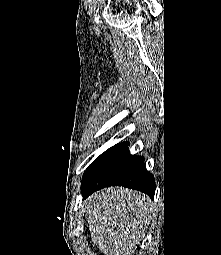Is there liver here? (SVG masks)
Wrapping results in <instances>:
<instances>
[{"label": "liver", "mask_w": 221, "mask_h": 255, "mask_svg": "<svg viewBox=\"0 0 221 255\" xmlns=\"http://www.w3.org/2000/svg\"><path fill=\"white\" fill-rule=\"evenodd\" d=\"M91 240L104 255H132L157 210L136 191L105 188L84 202Z\"/></svg>", "instance_id": "obj_1"}]
</instances>
